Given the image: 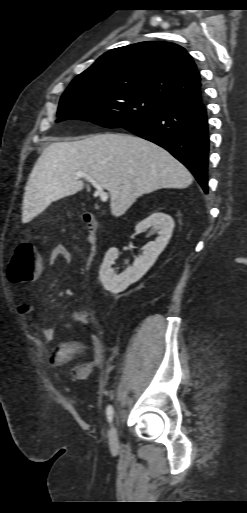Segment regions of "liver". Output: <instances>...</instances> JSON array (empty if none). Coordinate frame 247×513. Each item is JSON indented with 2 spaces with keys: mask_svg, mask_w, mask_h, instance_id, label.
<instances>
[{
  "mask_svg": "<svg viewBox=\"0 0 247 513\" xmlns=\"http://www.w3.org/2000/svg\"><path fill=\"white\" fill-rule=\"evenodd\" d=\"M90 175L110 194L111 211L123 215L143 194L191 185L189 170L167 150L144 138L122 133L94 134L45 148L29 176L24 217L42 213L52 201L83 189L74 174Z\"/></svg>",
  "mask_w": 247,
  "mask_h": 513,
  "instance_id": "1",
  "label": "liver"
}]
</instances>
